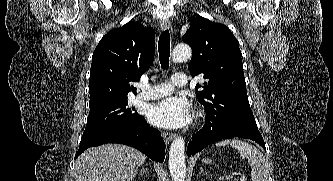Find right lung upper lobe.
I'll list each match as a JSON object with an SVG mask.
<instances>
[{
  "label": "right lung upper lobe",
  "mask_w": 333,
  "mask_h": 181,
  "mask_svg": "<svg viewBox=\"0 0 333 181\" xmlns=\"http://www.w3.org/2000/svg\"><path fill=\"white\" fill-rule=\"evenodd\" d=\"M155 32L128 22L108 32L97 45L90 70L89 107L95 108L136 94L131 82L139 81L155 54Z\"/></svg>",
  "instance_id": "cb5924a9"
}]
</instances>
